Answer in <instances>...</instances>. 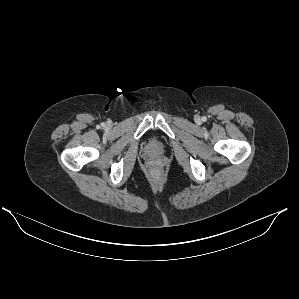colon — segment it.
Returning <instances> with one entry per match:
<instances>
[{
  "label": "colon",
  "mask_w": 299,
  "mask_h": 299,
  "mask_svg": "<svg viewBox=\"0 0 299 299\" xmlns=\"http://www.w3.org/2000/svg\"><path fill=\"white\" fill-rule=\"evenodd\" d=\"M151 176H152V177H158V176H159V171H158L157 169H153V170L151 171Z\"/></svg>",
  "instance_id": "colon-1"
}]
</instances>
